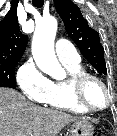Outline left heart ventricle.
<instances>
[{"label":"left heart ventricle","mask_w":117,"mask_h":136,"mask_svg":"<svg viewBox=\"0 0 117 136\" xmlns=\"http://www.w3.org/2000/svg\"><path fill=\"white\" fill-rule=\"evenodd\" d=\"M87 103L95 108H101L106 104L107 96L103 88L96 81H89L84 90Z\"/></svg>","instance_id":"1"}]
</instances>
